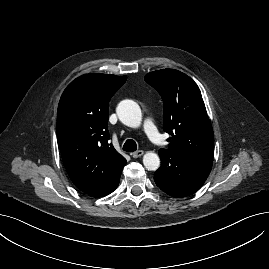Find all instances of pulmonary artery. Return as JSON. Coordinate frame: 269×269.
I'll list each match as a JSON object with an SVG mask.
<instances>
[{
	"mask_svg": "<svg viewBox=\"0 0 269 269\" xmlns=\"http://www.w3.org/2000/svg\"><path fill=\"white\" fill-rule=\"evenodd\" d=\"M142 128L144 134L151 143L156 146H162L164 144L162 134L159 132L151 119H145Z\"/></svg>",
	"mask_w": 269,
	"mask_h": 269,
	"instance_id": "obj_1",
	"label": "pulmonary artery"
}]
</instances>
